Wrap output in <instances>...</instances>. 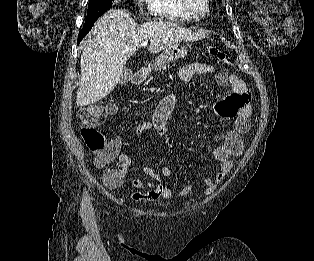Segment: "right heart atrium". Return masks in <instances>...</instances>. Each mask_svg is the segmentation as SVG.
<instances>
[{"label":"right heart atrium","mask_w":314,"mask_h":261,"mask_svg":"<svg viewBox=\"0 0 314 261\" xmlns=\"http://www.w3.org/2000/svg\"><path fill=\"white\" fill-rule=\"evenodd\" d=\"M145 2H146V0H133V3H134L137 7H141Z\"/></svg>","instance_id":"right-heart-atrium-1"}]
</instances>
